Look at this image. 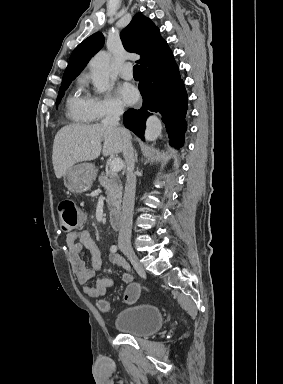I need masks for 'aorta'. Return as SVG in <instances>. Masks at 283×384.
Here are the masks:
<instances>
[{"label": "aorta", "mask_w": 283, "mask_h": 384, "mask_svg": "<svg viewBox=\"0 0 283 384\" xmlns=\"http://www.w3.org/2000/svg\"><path fill=\"white\" fill-rule=\"evenodd\" d=\"M91 77L96 91L104 93L109 87L110 76V54L105 51L98 52L90 62ZM162 130L160 120L151 116L146 122L145 138L147 141H154Z\"/></svg>", "instance_id": "aorta-1"}]
</instances>
